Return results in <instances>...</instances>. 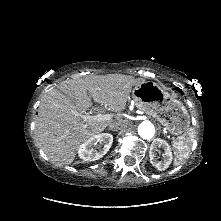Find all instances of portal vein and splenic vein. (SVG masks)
Returning <instances> with one entry per match:
<instances>
[{
  "label": "portal vein and splenic vein",
  "instance_id": "obj_1",
  "mask_svg": "<svg viewBox=\"0 0 221 221\" xmlns=\"http://www.w3.org/2000/svg\"><path fill=\"white\" fill-rule=\"evenodd\" d=\"M74 114L81 116L85 121H104V120H111L112 115L111 114H97L95 116L83 114L81 115L78 112H74Z\"/></svg>",
  "mask_w": 221,
  "mask_h": 221
}]
</instances>
